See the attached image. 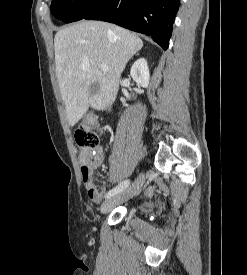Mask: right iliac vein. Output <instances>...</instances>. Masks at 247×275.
<instances>
[{
  "mask_svg": "<svg viewBox=\"0 0 247 275\" xmlns=\"http://www.w3.org/2000/svg\"><path fill=\"white\" fill-rule=\"evenodd\" d=\"M145 182V175L140 174L132 184L127 186L124 190L119 192L118 194L112 196L111 198L105 200L101 205V212L107 213L112 210L116 205L127 201L128 199L132 198L136 195L139 190L142 188Z\"/></svg>",
  "mask_w": 247,
  "mask_h": 275,
  "instance_id": "right-iliac-vein-1",
  "label": "right iliac vein"
}]
</instances>
